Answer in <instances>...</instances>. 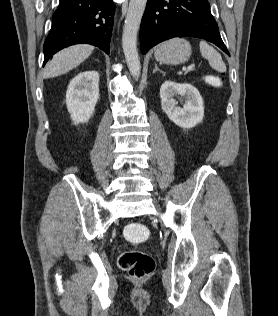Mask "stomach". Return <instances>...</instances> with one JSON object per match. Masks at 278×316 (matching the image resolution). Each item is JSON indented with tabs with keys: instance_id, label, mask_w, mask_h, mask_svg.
Wrapping results in <instances>:
<instances>
[{
	"instance_id": "obj_1",
	"label": "stomach",
	"mask_w": 278,
	"mask_h": 316,
	"mask_svg": "<svg viewBox=\"0 0 278 316\" xmlns=\"http://www.w3.org/2000/svg\"><path fill=\"white\" fill-rule=\"evenodd\" d=\"M190 55V44L184 39L175 38L161 44L154 56L160 63L178 65L186 62Z\"/></svg>"
}]
</instances>
